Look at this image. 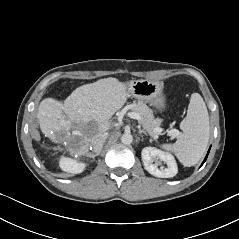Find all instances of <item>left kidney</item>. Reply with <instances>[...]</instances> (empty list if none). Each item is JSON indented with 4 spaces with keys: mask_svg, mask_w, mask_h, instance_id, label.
Instances as JSON below:
<instances>
[{
    "mask_svg": "<svg viewBox=\"0 0 239 239\" xmlns=\"http://www.w3.org/2000/svg\"><path fill=\"white\" fill-rule=\"evenodd\" d=\"M141 155L145 169L153 176L171 178L178 172L176 161L170 153L154 147H146L142 150ZM162 161L166 163V167L161 166L158 168Z\"/></svg>",
    "mask_w": 239,
    "mask_h": 239,
    "instance_id": "5707ae66",
    "label": "left kidney"
}]
</instances>
